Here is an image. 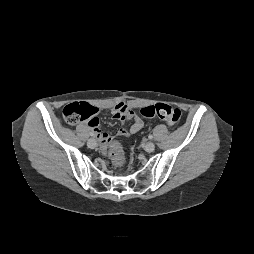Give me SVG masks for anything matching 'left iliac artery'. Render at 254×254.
I'll list each match as a JSON object with an SVG mask.
<instances>
[{"instance_id": "44dca946", "label": "left iliac artery", "mask_w": 254, "mask_h": 254, "mask_svg": "<svg viewBox=\"0 0 254 254\" xmlns=\"http://www.w3.org/2000/svg\"><path fill=\"white\" fill-rule=\"evenodd\" d=\"M148 138H149V139H152V138H153V135H152V134H149V135H148Z\"/></svg>"}]
</instances>
